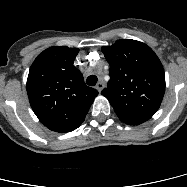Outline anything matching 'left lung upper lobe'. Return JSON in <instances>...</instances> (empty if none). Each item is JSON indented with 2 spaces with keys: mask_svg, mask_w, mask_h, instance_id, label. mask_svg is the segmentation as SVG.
<instances>
[{
  "mask_svg": "<svg viewBox=\"0 0 187 187\" xmlns=\"http://www.w3.org/2000/svg\"><path fill=\"white\" fill-rule=\"evenodd\" d=\"M110 65V80L101 94L128 125L149 120L159 109L165 91L163 66L146 44L121 39L102 47Z\"/></svg>",
  "mask_w": 187,
  "mask_h": 187,
  "instance_id": "5c2ea615",
  "label": "left lung upper lobe"
}]
</instances>
